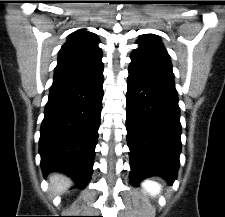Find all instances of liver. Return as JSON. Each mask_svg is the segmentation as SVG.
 Here are the masks:
<instances>
[{"label":"liver","instance_id":"1","mask_svg":"<svg viewBox=\"0 0 225 217\" xmlns=\"http://www.w3.org/2000/svg\"><path fill=\"white\" fill-rule=\"evenodd\" d=\"M49 182L55 194L65 193L71 186L70 178L63 174L53 173L49 176Z\"/></svg>","mask_w":225,"mask_h":217}]
</instances>
